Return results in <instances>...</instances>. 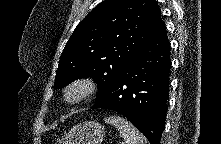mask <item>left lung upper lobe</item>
I'll list each match as a JSON object with an SVG mask.
<instances>
[{"mask_svg": "<svg viewBox=\"0 0 221 144\" xmlns=\"http://www.w3.org/2000/svg\"><path fill=\"white\" fill-rule=\"evenodd\" d=\"M161 24L155 0H104L78 24L65 45L54 88L91 77L98 85L97 102Z\"/></svg>", "mask_w": 221, "mask_h": 144, "instance_id": "1", "label": "left lung upper lobe"}]
</instances>
